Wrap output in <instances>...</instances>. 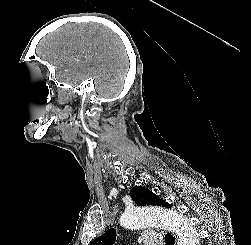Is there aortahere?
Returning a JSON list of instances; mask_svg holds the SVG:
<instances>
[{"mask_svg": "<svg viewBox=\"0 0 251 245\" xmlns=\"http://www.w3.org/2000/svg\"><path fill=\"white\" fill-rule=\"evenodd\" d=\"M120 225L127 229L162 226L176 234V245H199L196 228L188 218L175 211L154 207H134L121 215Z\"/></svg>", "mask_w": 251, "mask_h": 245, "instance_id": "762f6f07", "label": "aorta"}]
</instances>
